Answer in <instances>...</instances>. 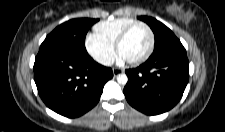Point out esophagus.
I'll use <instances>...</instances> for the list:
<instances>
[{"label":"esophagus","mask_w":225,"mask_h":132,"mask_svg":"<svg viewBox=\"0 0 225 132\" xmlns=\"http://www.w3.org/2000/svg\"><path fill=\"white\" fill-rule=\"evenodd\" d=\"M122 72H123L122 69H119V68H114V69H113V75H114V76H117V75H119V74L122 73Z\"/></svg>","instance_id":"1"}]
</instances>
